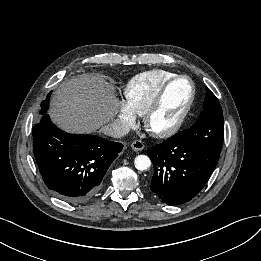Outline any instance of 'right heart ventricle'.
Returning <instances> with one entry per match:
<instances>
[{"mask_svg":"<svg viewBox=\"0 0 261 261\" xmlns=\"http://www.w3.org/2000/svg\"><path fill=\"white\" fill-rule=\"evenodd\" d=\"M174 76L173 72L157 69L132 77L123 91L126 103L136 115H143L160 88Z\"/></svg>","mask_w":261,"mask_h":261,"instance_id":"obj_1","label":"right heart ventricle"}]
</instances>
